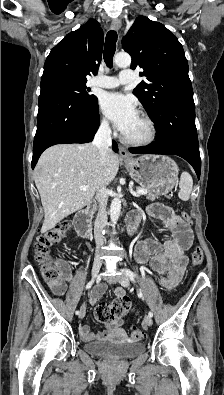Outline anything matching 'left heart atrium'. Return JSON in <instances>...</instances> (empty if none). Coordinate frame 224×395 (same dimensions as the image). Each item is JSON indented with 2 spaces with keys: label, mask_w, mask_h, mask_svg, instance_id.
<instances>
[{
  "label": "left heart atrium",
  "mask_w": 224,
  "mask_h": 395,
  "mask_svg": "<svg viewBox=\"0 0 224 395\" xmlns=\"http://www.w3.org/2000/svg\"><path fill=\"white\" fill-rule=\"evenodd\" d=\"M100 107L105 116L124 134L138 117L135 101L127 95L110 92L102 96Z\"/></svg>",
  "instance_id": "1"
}]
</instances>
